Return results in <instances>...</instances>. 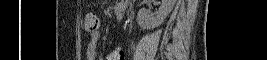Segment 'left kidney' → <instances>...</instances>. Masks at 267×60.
<instances>
[{"label":"left kidney","instance_id":"left-kidney-1","mask_svg":"<svg viewBox=\"0 0 267 60\" xmlns=\"http://www.w3.org/2000/svg\"><path fill=\"white\" fill-rule=\"evenodd\" d=\"M176 0H162V3L156 12V16L149 15L145 10L141 9L137 14V23L144 29H154L160 26L169 13L172 11Z\"/></svg>","mask_w":267,"mask_h":60}]
</instances>
